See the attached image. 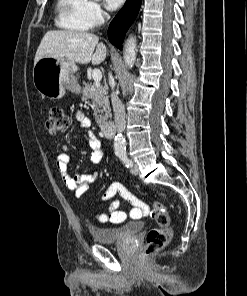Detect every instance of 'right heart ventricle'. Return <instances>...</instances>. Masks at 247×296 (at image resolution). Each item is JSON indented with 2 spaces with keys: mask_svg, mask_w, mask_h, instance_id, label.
<instances>
[{
  "mask_svg": "<svg viewBox=\"0 0 247 296\" xmlns=\"http://www.w3.org/2000/svg\"><path fill=\"white\" fill-rule=\"evenodd\" d=\"M84 0H57L56 25L73 31H87L90 27L83 18Z\"/></svg>",
  "mask_w": 247,
  "mask_h": 296,
  "instance_id": "e07e8e85",
  "label": "right heart ventricle"
}]
</instances>
